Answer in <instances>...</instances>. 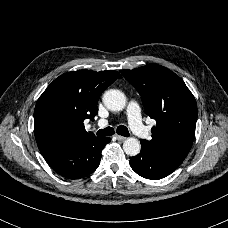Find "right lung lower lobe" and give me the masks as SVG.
Instances as JSON below:
<instances>
[{
  "instance_id": "obj_1",
  "label": "right lung lower lobe",
  "mask_w": 228,
  "mask_h": 228,
  "mask_svg": "<svg viewBox=\"0 0 228 228\" xmlns=\"http://www.w3.org/2000/svg\"><path fill=\"white\" fill-rule=\"evenodd\" d=\"M109 137H89L61 149L43 154L44 159L58 174L69 179H80L99 166L102 149Z\"/></svg>"
}]
</instances>
